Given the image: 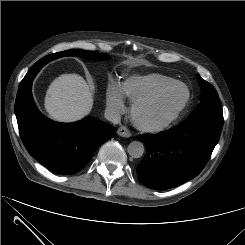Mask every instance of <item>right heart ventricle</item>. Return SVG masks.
<instances>
[{
    "instance_id": "1",
    "label": "right heart ventricle",
    "mask_w": 245,
    "mask_h": 245,
    "mask_svg": "<svg viewBox=\"0 0 245 245\" xmlns=\"http://www.w3.org/2000/svg\"><path fill=\"white\" fill-rule=\"evenodd\" d=\"M175 80L161 74L132 76L121 83V90L130 102L151 94Z\"/></svg>"
}]
</instances>
